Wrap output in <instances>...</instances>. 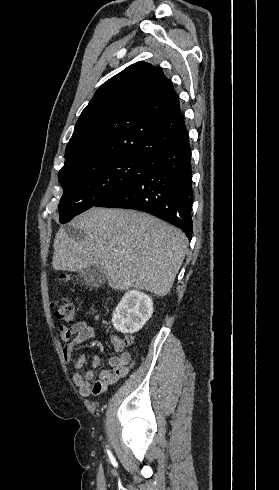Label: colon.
Here are the masks:
<instances>
[{"mask_svg": "<svg viewBox=\"0 0 279 490\" xmlns=\"http://www.w3.org/2000/svg\"><path fill=\"white\" fill-rule=\"evenodd\" d=\"M67 279L66 275L60 278V281H65ZM55 317L56 319L66 322L68 324H74L76 321V310L72 303L67 302L65 299L54 298L53 299ZM125 341L126 347H131L132 338L128 337Z\"/></svg>", "mask_w": 279, "mask_h": 490, "instance_id": "5ec220e1", "label": "colon"}]
</instances>
